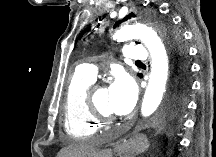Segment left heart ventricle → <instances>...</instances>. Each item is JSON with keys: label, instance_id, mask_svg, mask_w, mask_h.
<instances>
[{"label": "left heart ventricle", "instance_id": "1", "mask_svg": "<svg viewBox=\"0 0 216 157\" xmlns=\"http://www.w3.org/2000/svg\"><path fill=\"white\" fill-rule=\"evenodd\" d=\"M95 102L98 108L107 114L113 115L114 113L109 108L108 88H99L95 94Z\"/></svg>", "mask_w": 216, "mask_h": 157}]
</instances>
